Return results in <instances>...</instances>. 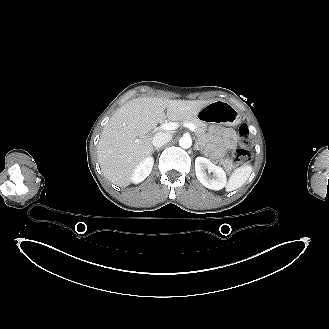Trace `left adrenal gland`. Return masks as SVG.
<instances>
[{"mask_svg": "<svg viewBox=\"0 0 329 329\" xmlns=\"http://www.w3.org/2000/svg\"><path fill=\"white\" fill-rule=\"evenodd\" d=\"M195 150H198V151H200L202 153V151L200 150V148H199V146L197 144L195 145Z\"/></svg>", "mask_w": 329, "mask_h": 329, "instance_id": "left-adrenal-gland-1", "label": "left adrenal gland"}]
</instances>
